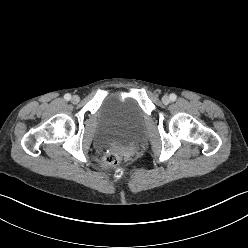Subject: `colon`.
<instances>
[{"label":"colon","mask_w":248,"mask_h":248,"mask_svg":"<svg viewBox=\"0 0 248 248\" xmlns=\"http://www.w3.org/2000/svg\"><path fill=\"white\" fill-rule=\"evenodd\" d=\"M122 160V153L116 150L109 151L104 157L105 164L111 168H118L121 165Z\"/></svg>","instance_id":"obj_1"}]
</instances>
